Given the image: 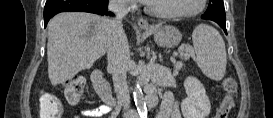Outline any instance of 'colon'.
I'll list each match as a JSON object with an SVG mask.
<instances>
[{
	"instance_id": "5ec220e1",
	"label": "colon",
	"mask_w": 273,
	"mask_h": 118,
	"mask_svg": "<svg viewBox=\"0 0 273 118\" xmlns=\"http://www.w3.org/2000/svg\"><path fill=\"white\" fill-rule=\"evenodd\" d=\"M83 81L74 79L66 86L67 99L71 103H76L82 96ZM225 92L223 100L214 116V118H228V115L234 105V97L237 92V83L235 79L227 77L222 82ZM40 117L41 118H59L61 117L64 106L63 102L53 94L45 93L40 97Z\"/></svg>"
}]
</instances>
